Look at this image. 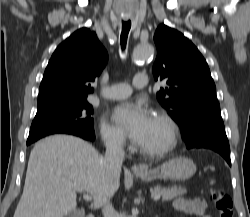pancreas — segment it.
Here are the masks:
<instances>
[{
	"label": "pancreas",
	"mask_w": 250,
	"mask_h": 217,
	"mask_svg": "<svg viewBox=\"0 0 250 217\" xmlns=\"http://www.w3.org/2000/svg\"><path fill=\"white\" fill-rule=\"evenodd\" d=\"M152 195L159 194L163 201L172 200L178 196H182L187 193V189L183 187H161L156 186L151 190Z\"/></svg>",
	"instance_id": "obj_1"
}]
</instances>
